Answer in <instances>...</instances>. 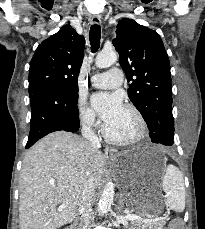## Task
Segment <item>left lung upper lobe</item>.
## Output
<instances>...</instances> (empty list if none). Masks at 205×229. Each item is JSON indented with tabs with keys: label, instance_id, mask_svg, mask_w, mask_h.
<instances>
[{
	"label": "left lung upper lobe",
	"instance_id": "left-lung-upper-lobe-1",
	"mask_svg": "<svg viewBox=\"0 0 205 229\" xmlns=\"http://www.w3.org/2000/svg\"><path fill=\"white\" fill-rule=\"evenodd\" d=\"M116 34L113 45L127 80L131 81L128 96L147 123L152 142L171 146L172 86L163 42L156 31L128 18L118 22Z\"/></svg>",
	"mask_w": 205,
	"mask_h": 229
}]
</instances>
